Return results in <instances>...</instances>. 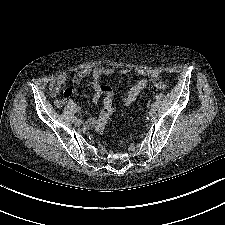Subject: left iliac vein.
<instances>
[{"label": "left iliac vein", "instance_id": "left-iliac-vein-1", "mask_svg": "<svg viewBox=\"0 0 225 225\" xmlns=\"http://www.w3.org/2000/svg\"><path fill=\"white\" fill-rule=\"evenodd\" d=\"M155 114H156V109H155V107L151 106V108L149 109V116L153 117V116H155Z\"/></svg>", "mask_w": 225, "mask_h": 225}]
</instances>
